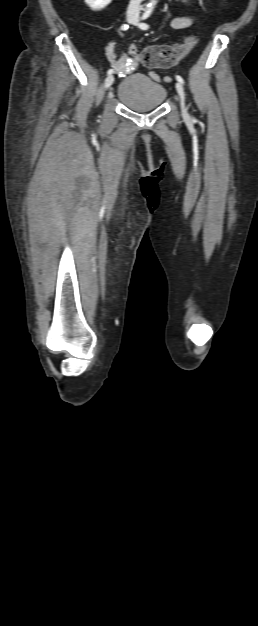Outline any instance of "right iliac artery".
<instances>
[{
	"mask_svg": "<svg viewBox=\"0 0 258 626\" xmlns=\"http://www.w3.org/2000/svg\"><path fill=\"white\" fill-rule=\"evenodd\" d=\"M128 28H129V26H128L127 24H123V25L121 26V29H122V30H124V31H125V30H127ZM112 73H113V69H109V70L107 71V74H108V75H110V74H112Z\"/></svg>",
	"mask_w": 258,
	"mask_h": 626,
	"instance_id": "82829eb1",
	"label": "right iliac artery"
}]
</instances>
